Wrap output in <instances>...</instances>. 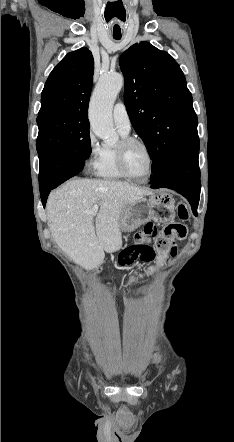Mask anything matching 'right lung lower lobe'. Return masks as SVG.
<instances>
[{
	"label": "right lung lower lobe",
	"instance_id": "98d812e1",
	"mask_svg": "<svg viewBox=\"0 0 234 442\" xmlns=\"http://www.w3.org/2000/svg\"><path fill=\"white\" fill-rule=\"evenodd\" d=\"M39 161L40 195L45 207L50 191L82 171L84 160L72 151L56 150L41 153Z\"/></svg>",
	"mask_w": 234,
	"mask_h": 442
}]
</instances>
